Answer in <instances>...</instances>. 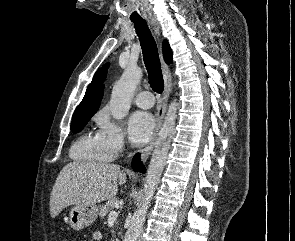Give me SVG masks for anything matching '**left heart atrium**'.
Wrapping results in <instances>:
<instances>
[{
	"label": "left heart atrium",
	"instance_id": "1",
	"mask_svg": "<svg viewBox=\"0 0 295 241\" xmlns=\"http://www.w3.org/2000/svg\"><path fill=\"white\" fill-rule=\"evenodd\" d=\"M155 128V119L148 112H135L129 119L130 139L137 145H143L151 138Z\"/></svg>",
	"mask_w": 295,
	"mask_h": 241
}]
</instances>
